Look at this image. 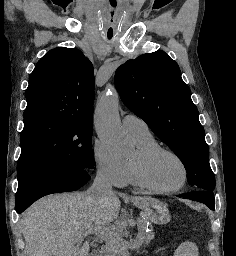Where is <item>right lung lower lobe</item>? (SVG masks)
Masks as SVG:
<instances>
[{
    "mask_svg": "<svg viewBox=\"0 0 236 256\" xmlns=\"http://www.w3.org/2000/svg\"><path fill=\"white\" fill-rule=\"evenodd\" d=\"M88 171L76 166H65L27 176L18 183L16 212L21 214L33 202L45 195L79 189L90 179Z\"/></svg>",
    "mask_w": 236,
    "mask_h": 256,
    "instance_id": "1",
    "label": "right lung lower lobe"
}]
</instances>
